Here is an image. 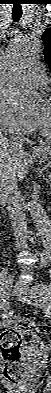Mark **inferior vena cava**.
<instances>
[{"label":"inferior vena cava","mask_w":51,"mask_h":393,"mask_svg":"<svg viewBox=\"0 0 51 393\" xmlns=\"http://www.w3.org/2000/svg\"><path fill=\"white\" fill-rule=\"evenodd\" d=\"M9 141L19 152H22V142L11 137ZM0 196L8 204V213L12 223L13 233L16 239V248L26 245L27 221L23 210V197L15 180L1 179Z\"/></svg>","instance_id":"1"}]
</instances>
